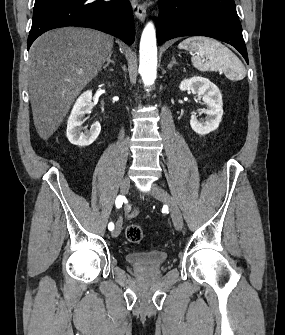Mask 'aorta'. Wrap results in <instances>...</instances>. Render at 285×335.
<instances>
[{"mask_svg": "<svg viewBox=\"0 0 285 335\" xmlns=\"http://www.w3.org/2000/svg\"><path fill=\"white\" fill-rule=\"evenodd\" d=\"M157 46L153 24L144 28L140 42L139 74L144 86H153L157 78Z\"/></svg>", "mask_w": 285, "mask_h": 335, "instance_id": "aorta-1", "label": "aorta"}]
</instances>
